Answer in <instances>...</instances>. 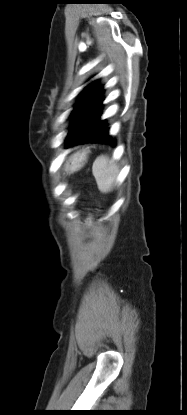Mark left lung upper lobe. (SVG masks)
<instances>
[{
    "mask_svg": "<svg viewBox=\"0 0 187 415\" xmlns=\"http://www.w3.org/2000/svg\"><path fill=\"white\" fill-rule=\"evenodd\" d=\"M95 84V81L94 82H92L91 84H89L81 93H80V98H79V100L77 101V103L75 104V108H74V110L72 111V113H71V118H72V121H71V124H72V122L74 121V119H75V117L77 116V114H78V112H79V110H80V108H81V105H82V103L84 102V100H85V98H86V96L89 94V92H90V90H91V88L93 87V85Z\"/></svg>",
    "mask_w": 187,
    "mask_h": 415,
    "instance_id": "obj_1",
    "label": "left lung upper lobe"
}]
</instances>
